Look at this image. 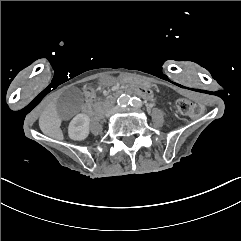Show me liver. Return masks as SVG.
I'll list each match as a JSON object with an SVG mask.
<instances>
[{
  "instance_id": "1",
  "label": "liver",
  "mask_w": 241,
  "mask_h": 241,
  "mask_svg": "<svg viewBox=\"0 0 241 241\" xmlns=\"http://www.w3.org/2000/svg\"><path fill=\"white\" fill-rule=\"evenodd\" d=\"M39 126L41 131L50 137L63 140V133L60 129L61 119L58 117L54 107H49L40 116Z\"/></svg>"
}]
</instances>
